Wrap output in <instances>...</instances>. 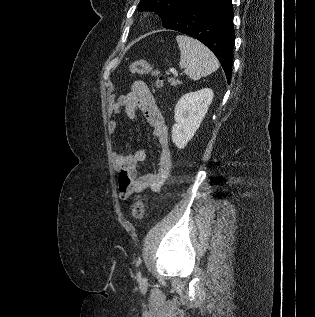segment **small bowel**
<instances>
[{
  "mask_svg": "<svg viewBox=\"0 0 315 317\" xmlns=\"http://www.w3.org/2000/svg\"><path fill=\"white\" fill-rule=\"evenodd\" d=\"M122 109L130 119L136 117L137 110L142 111L147 123L153 129V135L159 144L160 155L157 169L138 175L137 165L147 160L146 150L139 149L125 153L120 150L119 146L113 148L112 159L114 169L118 174L120 196L127 199L131 195L142 193L147 189L160 192L172 168L168 126L163 114L148 86L142 81L134 82L128 96L121 97L110 105L112 114H117ZM107 129L109 134H114L118 129V122L114 119L110 120Z\"/></svg>",
  "mask_w": 315,
  "mask_h": 317,
  "instance_id": "small-bowel-1",
  "label": "small bowel"
}]
</instances>
